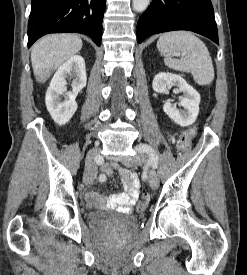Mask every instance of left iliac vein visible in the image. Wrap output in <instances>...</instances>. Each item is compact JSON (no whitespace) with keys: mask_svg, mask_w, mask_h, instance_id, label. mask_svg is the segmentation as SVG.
<instances>
[{"mask_svg":"<svg viewBox=\"0 0 247 275\" xmlns=\"http://www.w3.org/2000/svg\"><path fill=\"white\" fill-rule=\"evenodd\" d=\"M137 155H135L133 158L124 160L123 164L127 167H134V166H141L145 162V157L138 151V146L136 147ZM149 185L152 189H156L159 184V179L154 170L149 171L148 176Z\"/></svg>","mask_w":247,"mask_h":275,"instance_id":"obj_1","label":"left iliac vein"}]
</instances>
